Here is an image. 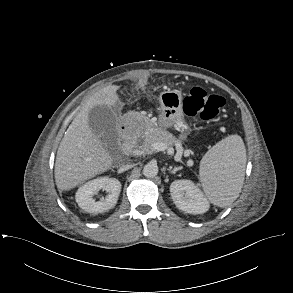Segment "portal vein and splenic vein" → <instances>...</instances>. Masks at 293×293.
<instances>
[{"instance_id": "obj_1", "label": "portal vein and splenic vein", "mask_w": 293, "mask_h": 293, "mask_svg": "<svg viewBox=\"0 0 293 293\" xmlns=\"http://www.w3.org/2000/svg\"><path fill=\"white\" fill-rule=\"evenodd\" d=\"M152 147L154 150H157V151H164L168 148L167 144L163 142H155L152 144ZM189 154L190 152H188L186 155H189Z\"/></svg>"}]
</instances>
